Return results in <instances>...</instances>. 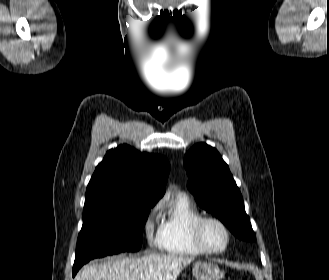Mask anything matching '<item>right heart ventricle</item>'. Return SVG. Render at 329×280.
I'll use <instances>...</instances> for the list:
<instances>
[{"label": "right heart ventricle", "mask_w": 329, "mask_h": 280, "mask_svg": "<svg viewBox=\"0 0 329 280\" xmlns=\"http://www.w3.org/2000/svg\"><path fill=\"white\" fill-rule=\"evenodd\" d=\"M202 212L186 194H177L166 203L159 247L172 255L196 257L203 253L192 239V226Z\"/></svg>", "instance_id": "obj_1"}]
</instances>
